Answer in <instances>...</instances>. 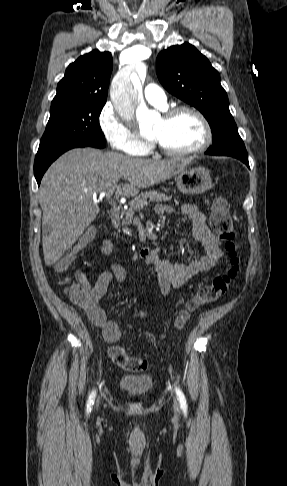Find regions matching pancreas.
Segmentation results:
<instances>
[{"label": "pancreas", "instance_id": "cf45deb5", "mask_svg": "<svg viewBox=\"0 0 287 486\" xmlns=\"http://www.w3.org/2000/svg\"><path fill=\"white\" fill-rule=\"evenodd\" d=\"M172 199L171 196H167L164 193H158L156 191H145L138 196H136L130 203L129 208L122 212V218L124 220L125 228L123 232L126 234H130L131 230L127 227L128 225L132 224L135 213L139 211L144 205L149 202H166ZM115 228L119 227V223L114 224Z\"/></svg>", "mask_w": 287, "mask_h": 486}]
</instances>
